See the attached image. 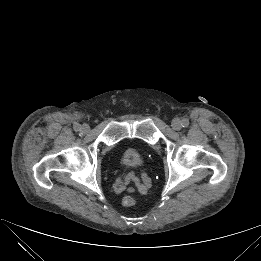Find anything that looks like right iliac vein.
I'll use <instances>...</instances> for the list:
<instances>
[{"label":"right iliac vein","mask_w":261,"mask_h":261,"mask_svg":"<svg viewBox=\"0 0 261 261\" xmlns=\"http://www.w3.org/2000/svg\"><path fill=\"white\" fill-rule=\"evenodd\" d=\"M89 130H90V127H89L88 124H83V125H82L81 131H82L83 133H88Z\"/></svg>","instance_id":"right-iliac-vein-1"}]
</instances>
